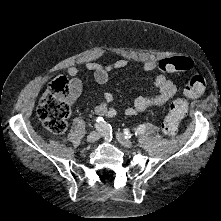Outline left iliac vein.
Here are the masks:
<instances>
[{
    "label": "left iliac vein",
    "mask_w": 221,
    "mask_h": 221,
    "mask_svg": "<svg viewBox=\"0 0 221 221\" xmlns=\"http://www.w3.org/2000/svg\"><path fill=\"white\" fill-rule=\"evenodd\" d=\"M116 138L119 141V143L124 147H132L133 146L132 141L127 139L126 137H124V135L120 132L116 133Z\"/></svg>",
    "instance_id": "obj_1"
}]
</instances>
